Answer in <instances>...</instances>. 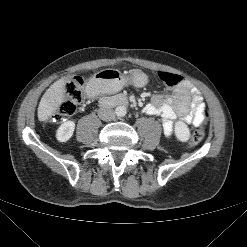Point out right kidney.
<instances>
[{"mask_svg": "<svg viewBox=\"0 0 247 247\" xmlns=\"http://www.w3.org/2000/svg\"><path fill=\"white\" fill-rule=\"evenodd\" d=\"M75 123L73 121H67L60 125L57 130L56 138L60 142L68 141L74 132Z\"/></svg>", "mask_w": 247, "mask_h": 247, "instance_id": "obj_1", "label": "right kidney"}]
</instances>
